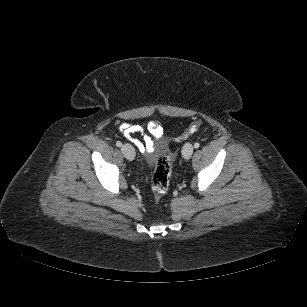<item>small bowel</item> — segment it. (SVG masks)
<instances>
[{
	"instance_id": "c3829d8e",
	"label": "small bowel",
	"mask_w": 307,
	"mask_h": 307,
	"mask_svg": "<svg viewBox=\"0 0 307 307\" xmlns=\"http://www.w3.org/2000/svg\"><path fill=\"white\" fill-rule=\"evenodd\" d=\"M119 130L125 137L131 139L142 153L150 154L157 147H163L165 144L162 137V125L157 121L149 122L145 128L131 123H123ZM137 133L143 136V141L133 139V135Z\"/></svg>"
}]
</instances>
